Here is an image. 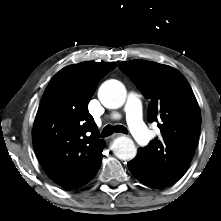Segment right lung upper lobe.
I'll return each instance as SVG.
<instances>
[{
    "label": "right lung upper lobe",
    "mask_w": 221,
    "mask_h": 221,
    "mask_svg": "<svg viewBox=\"0 0 221 221\" xmlns=\"http://www.w3.org/2000/svg\"><path fill=\"white\" fill-rule=\"evenodd\" d=\"M116 67L82 62L64 67L47 86L35 118L33 145L47 175L74 189L87 183L102 159L105 141L87 106L100 79Z\"/></svg>",
    "instance_id": "right-lung-upper-lobe-1"
}]
</instances>
